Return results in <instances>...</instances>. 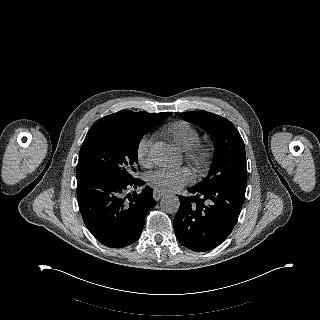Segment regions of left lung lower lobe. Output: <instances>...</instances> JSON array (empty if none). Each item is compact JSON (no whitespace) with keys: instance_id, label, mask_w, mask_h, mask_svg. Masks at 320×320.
Wrapping results in <instances>:
<instances>
[{"instance_id":"obj_1","label":"left lung lower lobe","mask_w":320,"mask_h":320,"mask_svg":"<svg viewBox=\"0 0 320 320\" xmlns=\"http://www.w3.org/2000/svg\"><path fill=\"white\" fill-rule=\"evenodd\" d=\"M246 182L227 180L212 188L189 189L180 196L174 218L179 242L196 252L208 251L221 244L232 232L245 199Z\"/></svg>"}]
</instances>
